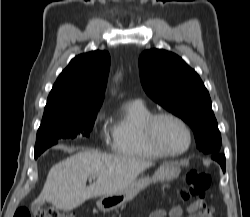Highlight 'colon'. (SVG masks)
Returning <instances> with one entry per match:
<instances>
[{
    "label": "colon",
    "instance_id": "1",
    "mask_svg": "<svg viewBox=\"0 0 250 217\" xmlns=\"http://www.w3.org/2000/svg\"><path fill=\"white\" fill-rule=\"evenodd\" d=\"M212 176L208 171L192 170L184 175V186L180 191V198L183 200H192L199 212L211 217L212 209L204 204L203 196L210 187ZM14 217H69L60 209L47 208L31 213L25 207L18 208Z\"/></svg>",
    "mask_w": 250,
    "mask_h": 217
}]
</instances>
